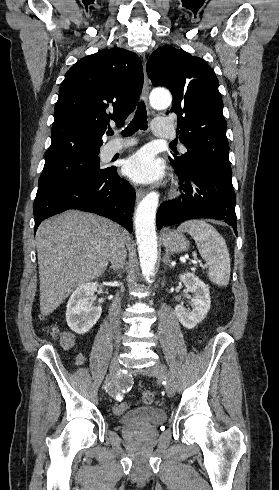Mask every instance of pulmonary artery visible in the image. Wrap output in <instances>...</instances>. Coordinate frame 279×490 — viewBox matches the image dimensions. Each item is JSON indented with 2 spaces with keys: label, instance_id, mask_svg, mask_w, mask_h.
<instances>
[{
  "label": "pulmonary artery",
  "instance_id": "pulmonary-artery-1",
  "mask_svg": "<svg viewBox=\"0 0 279 490\" xmlns=\"http://www.w3.org/2000/svg\"><path fill=\"white\" fill-rule=\"evenodd\" d=\"M152 129L155 134L159 135L160 140H170L173 137L172 132L174 130L168 117H156L155 122L152 124ZM115 142L116 144H108L106 146L107 157H112L122 152L128 146H137L139 141L137 137H117ZM181 148L185 149L184 146H181Z\"/></svg>",
  "mask_w": 279,
  "mask_h": 490
}]
</instances>
